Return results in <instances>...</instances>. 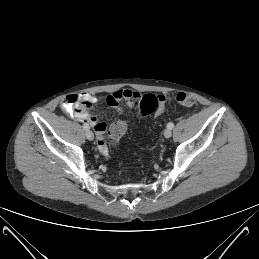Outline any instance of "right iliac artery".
<instances>
[{
  "label": "right iliac artery",
  "mask_w": 259,
  "mask_h": 259,
  "mask_svg": "<svg viewBox=\"0 0 259 259\" xmlns=\"http://www.w3.org/2000/svg\"><path fill=\"white\" fill-rule=\"evenodd\" d=\"M83 128H84L85 130H89V129H90V127H89V125H88L87 123H84V124H83Z\"/></svg>",
  "instance_id": "82829eb1"
}]
</instances>
